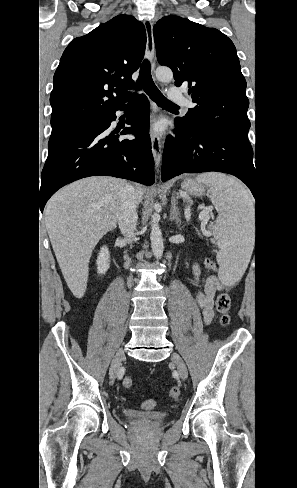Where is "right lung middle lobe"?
Here are the masks:
<instances>
[{
    "instance_id": "dd1d6c3e",
    "label": "right lung middle lobe",
    "mask_w": 297,
    "mask_h": 488,
    "mask_svg": "<svg viewBox=\"0 0 297 488\" xmlns=\"http://www.w3.org/2000/svg\"><path fill=\"white\" fill-rule=\"evenodd\" d=\"M90 122H91V121H90ZM88 123H89V122H86V123H84V124L78 125V126H76V127H74V128H70V129H67V130H64V131L53 132V133L51 134V136H50V140H49L48 145H49L50 143H52L54 140H56L57 138H59V137L63 136L65 133H67V132H69V131H71V130H73V129L77 128V127H80V126H83V125H85V124H88Z\"/></svg>"
}]
</instances>
